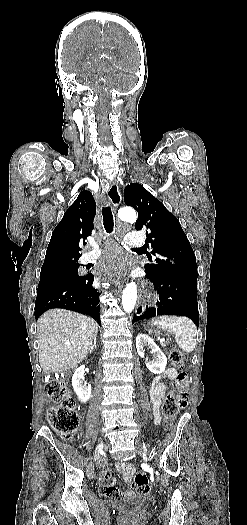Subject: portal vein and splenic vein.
<instances>
[{"label": "portal vein and splenic vein", "mask_w": 247, "mask_h": 525, "mask_svg": "<svg viewBox=\"0 0 247 525\" xmlns=\"http://www.w3.org/2000/svg\"><path fill=\"white\" fill-rule=\"evenodd\" d=\"M161 343H164L165 338H160ZM78 349H81V345H78Z\"/></svg>", "instance_id": "1"}]
</instances>
